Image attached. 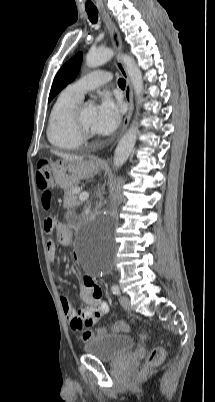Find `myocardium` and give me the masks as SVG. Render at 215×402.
Returning <instances> with one entry per match:
<instances>
[{
    "label": "myocardium",
    "instance_id": "1",
    "mask_svg": "<svg viewBox=\"0 0 215 402\" xmlns=\"http://www.w3.org/2000/svg\"><path fill=\"white\" fill-rule=\"evenodd\" d=\"M85 104L81 101L72 112V126L76 134L82 139L87 140L94 137V132L86 129L81 120V110Z\"/></svg>",
    "mask_w": 215,
    "mask_h": 402
}]
</instances>
